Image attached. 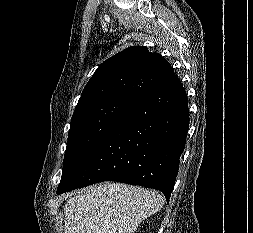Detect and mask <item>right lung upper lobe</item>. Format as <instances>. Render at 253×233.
Returning a JSON list of instances; mask_svg holds the SVG:
<instances>
[{"label": "right lung upper lobe", "instance_id": "right-lung-upper-lobe-1", "mask_svg": "<svg viewBox=\"0 0 253 233\" xmlns=\"http://www.w3.org/2000/svg\"><path fill=\"white\" fill-rule=\"evenodd\" d=\"M174 75L147 47L132 46L105 60L85 86L75 109L112 97L137 100Z\"/></svg>", "mask_w": 253, "mask_h": 233}]
</instances>
